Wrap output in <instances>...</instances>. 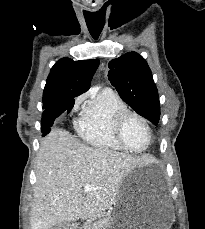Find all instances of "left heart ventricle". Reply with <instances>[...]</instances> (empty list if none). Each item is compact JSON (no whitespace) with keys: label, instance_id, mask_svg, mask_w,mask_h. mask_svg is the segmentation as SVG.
<instances>
[{"label":"left heart ventricle","instance_id":"b2bd125f","mask_svg":"<svg viewBox=\"0 0 205 229\" xmlns=\"http://www.w3.org/2000/svg\"><path fill=\"white\" fill-rule=\"evenodd\" d=\"M126 142L135 149H142L148 142V133L144 125L137 119L131 118L124 127Z\"/></svg>","mask_w":205,"mask_h":229}]
</instances>
